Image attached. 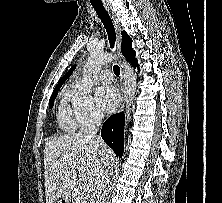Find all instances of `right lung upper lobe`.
<instances>
[{
  "instance_id": "cb5924a9",
  "label": "right lung upper lobe",
  "mask_w": 222,
  "mask_h": 203,
  "mask_svg": "<svg viewBox=\"0 0 222 203\" xmlns=\"http://www.w3.org/2000/svg\"><path fill=\"white\" fill-rule=\"evenodd\" d=\"M75 67H76V65H74V66L68 71V73H66V74L62 77V79L58 82V84H57L56 87L54 88V91H53V92H56V91H58V90L61 88L63 82L66 81V80L69 78V76L72 74V72H73V70L75 69Z\"/></svg>"
}]
</instances>
